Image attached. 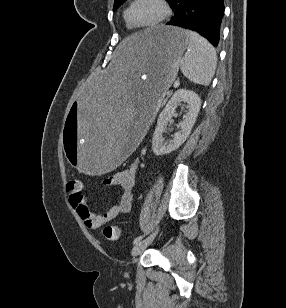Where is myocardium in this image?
<instances>
[{"label":"myocardium","mask_w":286,"mask_h":308,"mask_svg":"<svg viewBox=\"0 0 286 308\" xmlns=\"http://www.w3.org/2000/svg\"><path fill=\"white\" fill-rule=\"evenodd\" d=\"M156 1L160 5V7L162 9V13H161L160 17L157 20H155L154 22H151L149 24H144V25H136V24H134L131 21L130 12H131V9H132L133 5L135 3H137L138 0H132L130 2L129 6L127 7L126 11H125L126 23L131 28H133V29H150V28H154V27H157L160 24H162L167 19V17L170 15V7H169V5H168L166 0H156Z\"/></svg>","instance_id":"myocardium-1"}]
</instances>
